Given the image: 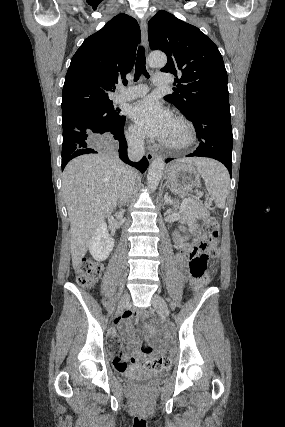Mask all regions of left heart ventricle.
Returning a JSON list of instances; mask_svg holds the SVG:
<instances>
[{
	"instance_id": "1",
	"label": "left heart ventricle",
	"mask_w": 285,
	"mask_h": 427,
	"mask_svg": "<svg viewBox=\"0 0 285 427\" xmlns=\"http://www.w3.org/2000/svg\"><path fill=\"white\" fill-rule=\"evenodd\" d=\"M185 137L186 133L184 127L179 122L174 120L166 141L180 143L184 141Z\"/></svg>"
}]
</instances>
